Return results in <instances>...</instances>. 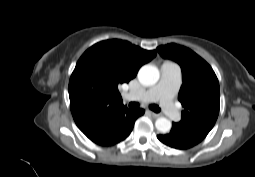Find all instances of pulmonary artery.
Returning a JSON list of instances; mask_svg holds the SVG:
<instances>
[{
	"label": "pulmonary artery",
	"instance_id": "pulmonary-artery-1",
	"mask_svg": "<svg viewBox=\"0 0 255 177\" xmlns=\"http://www.w3.org/2000/svg\"><path fill=\"white\" fill-rule=\"evenodd\" d=\"M180 86L179 71L169 62L161 67V78L157 85L146 90L138 96H130L142 102L159 101L165 114L174 121L180 120V112L173 103V97Z\"/></svg>",
	"mask_w": 255,
	"mask_h": 177
}]
</instances>
